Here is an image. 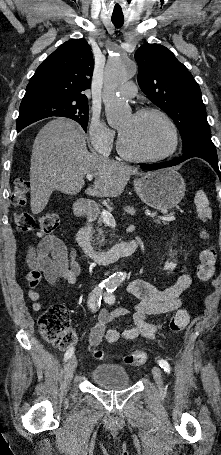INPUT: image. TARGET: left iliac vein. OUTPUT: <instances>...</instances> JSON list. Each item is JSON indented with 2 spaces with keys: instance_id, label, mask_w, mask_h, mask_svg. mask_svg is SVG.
<instances>
[{
  "instance_id": "4c4485c4",
  "label": "left iliac vein",
  "mask_w": 221,
  "mask_h": 455,
  "mask_svg": "<svg viewBox=\"0 0 221 455\" xmlns=\"http://www.w3.org/2000/svg\"><path fill=\"white\" fill-rule=\"evenodd\" d=\"M152 374L154 376V379L156 381V384H157L158 388L161 391H163L164 390V386H163V377H162L161 369L158 366H154L152 368Z\"/></svg>"
}]
</instances>
